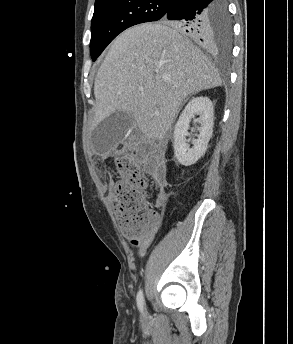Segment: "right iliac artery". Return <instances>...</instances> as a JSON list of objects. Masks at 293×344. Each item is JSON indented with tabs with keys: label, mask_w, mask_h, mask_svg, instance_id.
<instances>
[{
	"label": "right iliac artery",
	"mask_w": 293,
	"mask_h": 344,
	"mask_svg": "<svg viewBox=\"0 0 293 344\" xmlns=\"http://www.w3.org/2000/svg\"><path fill=\"white\" fill-rule=\"evenodd\" d=\"M137 305L138 308L141 312L144 311V297H143V292L139 291L137 294Z\"/></svg>",
	"instance_id": "right-iliac-artery-1"
}]
</instances>
